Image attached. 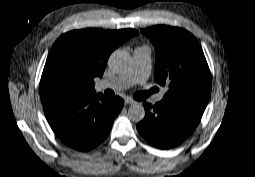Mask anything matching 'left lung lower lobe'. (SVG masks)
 Returning a JSON list of instances; mask_svg holds the SVG:
<instances>
[{
	"mask_svg": "<svg viewBox=\"0 0 255 177\" xmlns=\"http://www.w3.org/2000/svg\"><path fill=\"white\" fill-rule=\"evenodd\" d=\"M207 104L190 101L144 102L145 118L137 124L141 136L155 147L169 149L184 141L196 128Z\"/></svg>",
	"mask_w": 255,
	"mask_h": 177,
	"instance_id": "left-lung-lower-lobe-1",
	"label": "left lung lower lobe"
}]
</instances>
